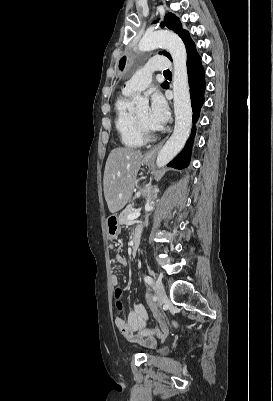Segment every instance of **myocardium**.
<instances>
[{"instance_id":"obj_1","label":"myocardium","mask_w":273,"mask_h":401,"mask_svg":"<svg viewBox=\"0 0 273 401\" xmlns=\"http://www.w3.org/2000/svg\"><path fill=\"white\" fill-rule=\"evenodd\" d=\"M133 116H134V120H135L136 126H137L139 132L141 133L142 137H143L144 139H150V138L152 137V135H153V134H152V130H151L149 127H147V126L138 118V116H137L135 113L133 114Z\"/></svg>"}]
</instances>
